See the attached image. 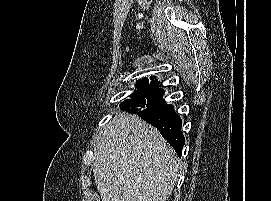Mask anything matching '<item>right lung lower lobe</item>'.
Masks as SVG:
<instances>
[{
	"label": "right lung lower lobe",
	"instance_id": "right-lung-lower-lobe-1",
	"mask_svg": "<svg viewBox=\"0 0 271 201\" xmlns=\"http://www.w3.org/2000/svg\"><path fill=\"white\" fill-rule=\"evenodd\" d=\"M164 90L153 80L142 94L131 96L121 103L120 109L137 114L155 126L180 157L185 138L181 131L182 122L172 105L165 104Z\"/></svg>",
	"mask_w": 271,
	"mask_h": 201
}]
</instances>
